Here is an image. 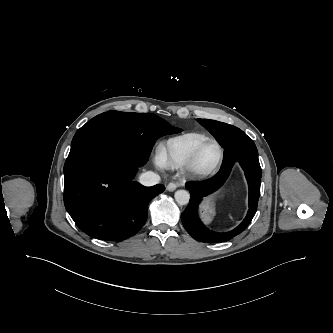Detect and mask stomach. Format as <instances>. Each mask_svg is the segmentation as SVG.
Listing matches in <instances>:
<instances>
[{"label": "stomach", "mask_w": 333, "mask_h": 333, "mask_svg": "<svg viewBox=\"0 0 333 333\" xmlns=\"http://www.w3.org/2000/svg\"><path fill=\"white\" fill-rule=\"evenodd\" d=\"M214 196H211L203 201L201 204V217L205 223H209L215 213V209L212 204Z\"/></svg>", "instance_id": "0dacf381"}]
</instances>
